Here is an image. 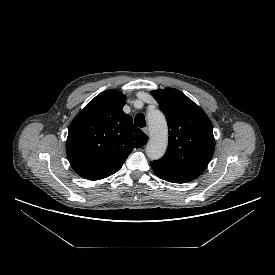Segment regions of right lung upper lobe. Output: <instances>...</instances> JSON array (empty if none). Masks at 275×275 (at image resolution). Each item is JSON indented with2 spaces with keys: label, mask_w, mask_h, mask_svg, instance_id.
I'll list each match as a JSON object with an SVG mask.
<instances>
[{
  "label": "right lung upper lobe",
  "mask_w": 275,
  "mask_h": 275,
  "mask_svg": "<svg viewBox=\"0 0 275 275\" xmlns=\"http://www.w3.org/2000/svg\"><path fill=\"white\" fill-rule=\"evenodd\" d=\"M125 102L120 91H104L70 124L66 153L81 177L100 180L116 173L134 148L147 143L148 136L123 112Z\"/></svg>",
  "instance_id": "obj_1"
}]
</instances>
